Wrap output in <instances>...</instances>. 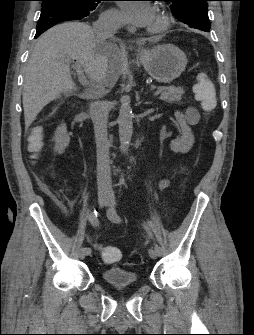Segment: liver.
<instances>
[{
	"mask_svg": "<svg viewBox=\"0 0 254 335\" xmlns=\"http://www.w3.org/2000/svg\"><path fill=\"white\" fill-rule=\"evenodd\" d=\"M79 62L91 82V93L112 89L126 62L114 39L98 38L93 28L81 22L58 24L37 40L23 85L25 126L62 94L76 91L70 61Z\"/></svg>",
	"mask_w": 254,
	"mask_h": 335,
	"instance_id": "1",
	"label": "liver"
}]
</instances>
